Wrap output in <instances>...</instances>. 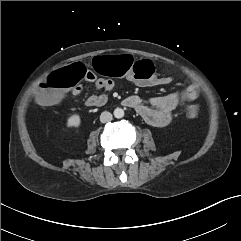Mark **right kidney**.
Here are the masks:
<instances>
[{"label": "right kidney", "instance_id": "right-kidney-1", "mask_svg": "<svg viewBox=\"0 0 241 241\" xmlns=\"http://www.w3.org/2000/svg\"><path fill=\"white\" fill-rule=\"evenodd\" d=\"M81 125V118L78 114L71 115L67 119L66 126L68 128H78Z\"/></svg>", "mask_w": 241, "mask_h": 241}]
</instances>
